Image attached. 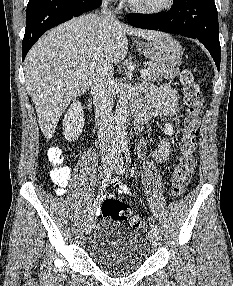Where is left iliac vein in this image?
Segmentation results:
<instances>
[{"mask_svg": "<svg viewBox=\"0 0 233 286\" xmlns=\"http://www.w3.org/2000/svg\"><path fill=\"white\" fill-rule=\"evenodd\" d=\"M115 171L117 174L124 173L125 169H124V163L122 161V158H120L118 165L115 168ZM148 237H149V241H150L151 245L157 246V242H158L157 232L151 228L148 232Z\"/></svg>", "mask_w": 233, "mask_h": 286, "instance_id": "4c4485c4", "label": "left iliac vein"}]
</instances>
